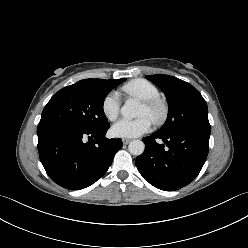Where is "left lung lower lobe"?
<instances>
[{
  "mask_svg": "<svg viewBox=\"0 0 248 248\" xmlns=\"http://www.w3.org/2000/svg\"><path fill=\"white\" fill-rule=\"evenodd\" d=\"M210 131V124H198L169 135L155 132L144 137L145 151L135 161L138 171L151 185L161 190L175 191L188 185L205 163ZM157 138L162 139L164 144H158Z\"/></svg>",
  "mask_w": 248,
  "mask_h": 248,
  "instance_id": "left-lung-lower-lobe-1",
  "label": "left lung lower lobe"
}]
</instances>
